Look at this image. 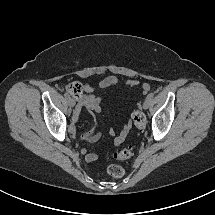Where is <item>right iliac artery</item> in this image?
Segmentation results:
<instances>
[{
	"label": "right iliac artery",
	"mask_w": 215,
	"mask_h": 215,
	"mask_svg": "<svg viewBox=\"0 0 215 215\" xmlns=\"http://www.w3.org/2000/svg\"><path fill=\"white\" fill-rule=\"evenodd\" d=\"M64 96L68 99V98H70V96H69V94L68 93H64Z\"/></svg>",
	"instance_id": "right-iliac-artery-1"
}]
</instances>
